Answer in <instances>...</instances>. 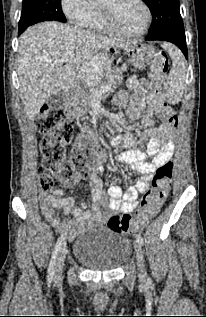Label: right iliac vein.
<instances>
[{
	"label": "right iliac vein",
	"mask_w": 206,
	"mask_h": 317,
	"mask_svg": "<svg viewBox=\"0 0 206 317\" xmlns=\"http://www.w3.org/2000/svg\"><path fill=\"white\" fill-rule=\"evenodd\" d=\"M67 251L66 245H63L55 262V276L57 278L62 274Z\"/></svg>",
	"instance_id": "obj_1"
}]
</instances>
